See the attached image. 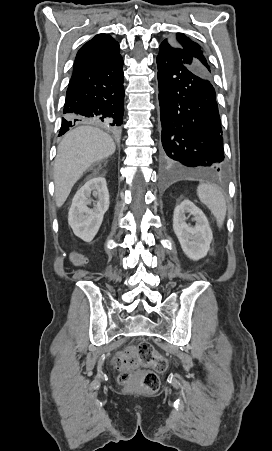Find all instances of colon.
Wrapping results in <instances>:
<instances>
[{
    "label": "colon",
    "mask_w": 272,
    "mask_h": 451,
    "mask_svg": "<svg viewBox=\"0 0 272 451\" xmlns=\"http://www.w3.org/2000/svg\"><path fill=\"white\" fill-rule=\"evenodd\" d=\"M72 260H79L81 253L72 251L70 253ZM82 268L81 264L77 265ZM141 365H153V370L139 369ZM115 366L121 371L119 382L123 386H139L149 392H155L160 386V380L157 372H163L166 368L164 358L159 356L152 348L150 342H141L126 354L120 356Z\"/></svg>",
    "instance_id": "obj_1"
}]
</instances>
